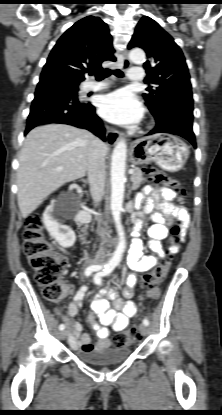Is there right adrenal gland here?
Listing matches in <instances>:
<instances>
[{"instance_id": "obj_1", "label": "right adrenal gland", "mask_w": 222, "mask_h": 415, "mask_svg": "<svg viewBox=\"0 0 222 415\" xmlns=\"http://www.w3.org/2000/svg\"><path fill=\"white\" fill-rule=\"evenodd\" d=\"M84 183H87V181H86V180H84Z\"/></svg>"}]
</instances>
